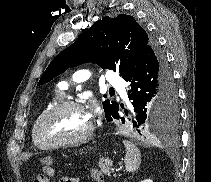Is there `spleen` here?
I'll return each mask as SVG.
<instances>
[{"mask_svg": "<svg viewBox=\"0 0 211 182\" xmlns=\"http://www.w3.org/2000/svg\"><path fill=\"white\" fill-rule=\"evenodd\" d=\"M123 144L126 148L125 155V169L128 172H135L141 163V154L139 149L130 141H123Z\"/></svg>", "mask_w": 211, "mask_h": 182, "instance_id": "1", "label": "spleen"}]
</instances>
